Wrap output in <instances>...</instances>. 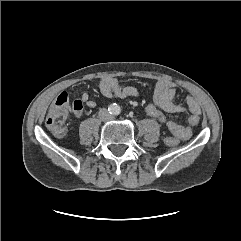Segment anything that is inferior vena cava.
Instances as JSON below:
<instances>
[{"mask_svg":"<svg viewBox=\"0 0 241 241\" xmlns=\"http://www.w3.org/2000/svg\"><path fill=\"white\" fill-rule=\"evenodd\" d=\"M98 116L104 122L111 121L113 119V115H111L106 108L100 109Z\"/></svg>","mask_w":241,"mask_h":241,"instance_id":"1","label":"inferior vena cava"}]
</instances>
